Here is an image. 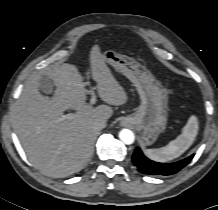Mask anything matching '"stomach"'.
<instances>
[{"mask_svg":"<svg viewBox=\"0 0 218 210\" xmlns=\"http://www.w3.org/2000/svg\"><path fill=\"white\" fill-rule=\"evenodd\" d=\"M106 63L126 76L136 87L141 99L137 111L124 118L122 124L133 126L143 145H152L166 127L168 117L167 90L135 60L112 50L102 53Z\"/></svg>","mask_w":218,"mask_h":210,"instance_id":"stomach-1","label":"stomach"}]
</instances>
